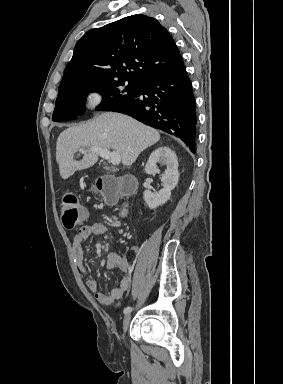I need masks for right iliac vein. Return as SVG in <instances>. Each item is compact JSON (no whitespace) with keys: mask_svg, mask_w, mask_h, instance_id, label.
Instances as JSON below:
<instances>
[{"mask_svg":"<svg viewBox=\"0 0 283 384\" xmlns=\"http://www.w3.org/2000/svg\"><path fill=\"white\" fill-rule=\"evenodd\" d=\"M130 321H131V313H127L125 314L124 316V319H123V332L125 333L129 327V324H130Z\"/></svg>","mask_w":283,"mask_h":384,"instance_id":"63e3f726","label":"right iliac vein"}]
</instances>
